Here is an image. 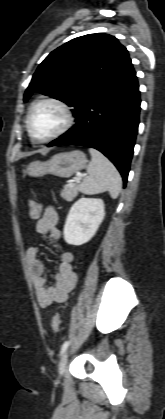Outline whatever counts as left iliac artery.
<instances>
[{
	"label": "left iliac artery",
	"instance_id": "1",
	"mask_svg": "<svg viewBox=\"0 0 165 419\" xmlns=\"http://www.w3.org/2000/svg\"><path fill=\"white\" fill-rule=\"evenodd\" d=\"M69 341H66L63 345H62V347H61V351H60V354H63L65 351H66V349L68 348V346H69Z\"/></svg>",
	"mask_w": 165,
	"mask_h": 419
}]
</instances>
